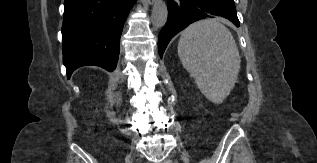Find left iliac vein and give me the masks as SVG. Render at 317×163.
I'll return each mask as SVG.
<instances>
[{
  "mask_svg": "<svg viewBox=\"0 0 317 163\" xmlns=\"http://www.w3.org/2000/svg\"><path fill=\"white\" fill-rule=\"evenodd\" d=\"M163 163H172L171 160H165Z\"/></svg>",
  "mask_w": 317,
  "mask_h": 163,
  "instance_id": "1",
  "label": "left iliac vein"
}]
</instances>
